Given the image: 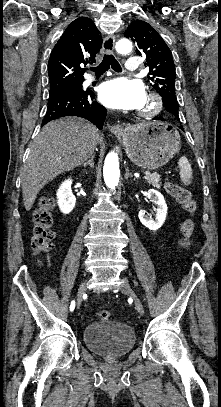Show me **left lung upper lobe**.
Wrapping results in <instances>:
<instances>
[{
	"mask_svg": "<svg viewBox=\"0 0 221 407\" xmlns=\"http://www.w3.org/2000/svg\"><path fill=\"white\" fill-rule=\"evenodd\" d=\"M125 37L131 38L136 43V53L146 58L149 81L161 95L166 111L178 118L175 68L169 47L155 29L142 20L133 21L125 31Z\"/></svg>",
	"mask_w": 221,
	"mask_h": 407,
	"instance_id": "obj_1",
	"label": "left lung upper lobe"
}]
</instances>
